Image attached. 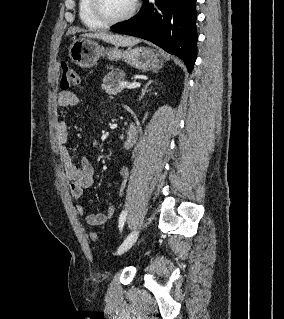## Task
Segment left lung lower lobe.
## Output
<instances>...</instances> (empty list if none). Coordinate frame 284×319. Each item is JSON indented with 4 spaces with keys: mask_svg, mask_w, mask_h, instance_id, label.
I'll list each match as a JSON object with an SVG mask.
<instances>
[{
    "mask_svg": "<svg viewBox=\"0 0 284 319\" xmlns=\"http://www.w3.org/2000/svg\"><path fill=\"white\" fill-rule=\"evenodd\" d=\"M196 0H145L141 11L113 32L139 37L180 57L191 72L196 60Z\"/></svg>",
    "mask_w": 284,
    "mask_h": 319,
    "instance_id": "obj_1",
    "label": "left lung lower lobe"
}]
</instances>
